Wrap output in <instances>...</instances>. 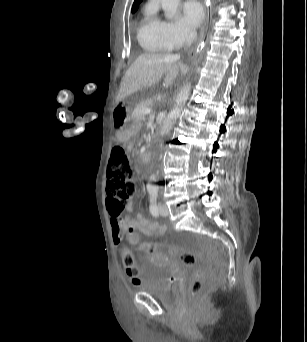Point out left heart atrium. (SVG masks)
<instances>
[{
  "mask_svg": "<svg viewBox=\"0 0 307 342\" xmlns=\"http://www.w3.org/2000/svg\"><path fill=\"white\" fill-rule=\"evenodd\" d=\"M204 19V10L202 6L195 2H188L182 11L181 24L184 30L183 39L185 42H189L192 39V35L199 27Z\"/></svg>",
  "mask_w": 307,
  "mask_h": 342,
  "instance_id": "obj_1",
  "label": "left heart atrium"
}]
</instances>
